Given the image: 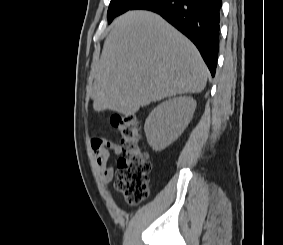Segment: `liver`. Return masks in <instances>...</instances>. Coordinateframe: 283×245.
<instances>
[{
  "label": "liver",
  "mask_w": 283,
  "mask_h": 245,
  "mask_svg": "<svg viewBox=\"0 0 283 245\" xmlns=\"http://www.w3.org/2000/svg\"><path fill=\"white\" fill-rule=\"evenodd\" d=\"M208 70L193 43L150 11H128L105 39L91 97L97 112L134 115L151 102L204 90Z\"/></svg>",
  "instance_id": "1"
}]
</instances>
